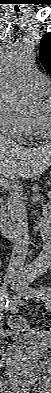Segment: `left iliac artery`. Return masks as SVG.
I'll return each instance as SVG.
<instances>
[{"mask_svg": "<svg viewBox=\"0 0 51 393\" xmlns=\"http://www.w3.org/2000/svg\"><path fill=\"white\" fill-rule=\"evenodd\" d=\"M35 278L36 274H28L22 282L26 297H30L33 294L37 295V297H41L45 301L47 309L51 310V287L41 286L37 290L30 288L29 285L35 280Z\"/></svg>", "mask_w": 51, "mask_h": 393, "instance_id": "left-iliac-artery-1", "label": "left iliac artery"}]
</instances>
